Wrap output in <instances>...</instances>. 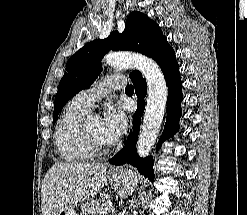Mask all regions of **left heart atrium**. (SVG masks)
<instances>
[{
    "label": "left heart atrium",
    "instance_id": "left-heart-atrium-1",
    "mask_svg": "<svg viewBox=\"0 0 247 215\" xmlns=\"http://www.w3.org/2000/svg\"><path fill=\"white\" fill-rule=\"evenodd\" d=\"M102 132L108 143L119 139L127 129L126 117L123 111L116 106H109L101 121Z\"/></svg>",
    "mask_w": 247,
    "mask_h": 215
}]
</instances>
